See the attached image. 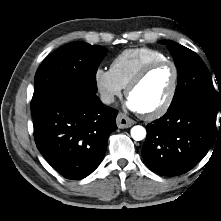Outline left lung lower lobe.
<instances>
[{
    "label": "left lung lower lobe",
    "mask_w": 221,
    "mask_h": 221,
    "mask_svg": "<svg viewBox=\"0 0 221 221\" xmlns=\"http://www.w3.org/2000/svg\"><path fill=\"white\" fill-rule=\"evenodd\" d=\"M215 112L206 102L188 99L148 124L142 149L148 168L159 175L178 176L196 166L214 144Z\"/></svg>",
    "instance_id": "obj_1"
}]
</instances>
